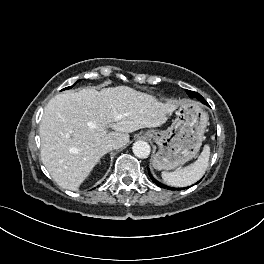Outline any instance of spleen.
I'll use <instances>...</instances> for the list:
<instances>
[{
    "instance_id": "obj_1",
    "label": "spleen",
    "mask_w": 264,
    "mask_h": 264,
    "mask_svg": "<svg viewBox=\"0 0 264 264\" xmlns=\"http://www.w3.org/2000/svg\"><path fill=\"white\" fill-rule=\"evenodd\" d=\"M210 147L205 145L198 159L191 165L174 172H162L163 181L174 187H184L198 181L209 166Z\"/></svg>"
}]
</instances>
